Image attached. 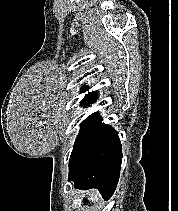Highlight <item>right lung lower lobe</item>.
I'll use <instances>...</instances> for the list:
<instances>
[{
  "label": "right lung lower lobe",
  "mask_w": 178,
  "mask_h": 211,
  "mask_svg": "<svg viewBox=\"0 0 178 211\" xmlns=\"http://www.w3.org/2000/svg\"><path fill=\"white\" fill-rule=\"evenodd\" d=\"M101 120L93 113L81 124L69 160L68 181L83 190L97 188L107 200L119 180L122 148L118 133Z\"/></svg>",
  "instance_id": "obj_1"
}]
</instances>
